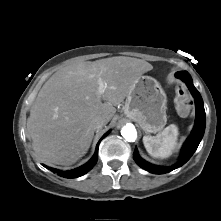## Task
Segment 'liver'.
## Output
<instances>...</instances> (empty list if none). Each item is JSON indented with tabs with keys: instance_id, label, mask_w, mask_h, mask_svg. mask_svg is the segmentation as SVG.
Returning <instances> with one entry per match:
<instances>
[{
	"instance_id": "6515ba94",
	"label": "liver",
	"mask_w": 221,
	"mask_h": 221,
	"mask_svg": "<svg viewBox=\"0 0 221 221\" xmlns=\"http://www.w3.org/2000/svg\"><path fill=\"white\" fill-rule=\"evenodd\" d=\"M152 69L144 60L116 56L80 62L52 75L32 103L27 120V133L40 161L69 166L84 156L96 130L91 121L101 118L107 124L115 106ZM99 79L107 85L103 94L98 92Z\"/></svg>"
}]
</instances>
